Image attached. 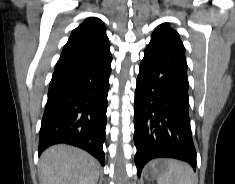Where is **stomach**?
Here are the masks:
<instances>
[{"label":"stomach","mask_w":235,"mask_h":184,"mask_svg":"<svg viewBox=\"0 0 235 184\" xmlns=\"http://www.w3.org/2000/svg\"><path fill=\"white\" fill-rule=\"evenodd\" d=\"M163 166L164 160H154V162L148 164L144 172L146 180H155L158 174H161Z\"/></svg>","instance_id":"1"}]
</instances>
